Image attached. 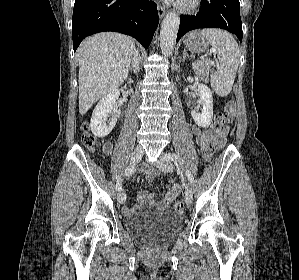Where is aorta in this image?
<instances>
[{"label":"aorta","instance_id":"obj_1","mask_svg":"<svg viewBox=\"0 0 299 280\" xmlns=\"http://www.w3.org/2000/svg\"><path fill=\"white\" fill-rule=\"evenodd\" d=\"M180 17L175 12L166 15L160 30V47L164 56H170L174 50Z\"/></svg>","mask_w":299,"mask_h":280}]
</instances>
